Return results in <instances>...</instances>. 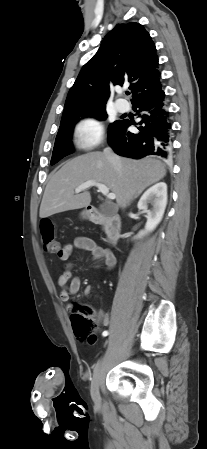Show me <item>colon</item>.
I'll return each mask as SVG.
<instances>
[{"instance_id": "colon-1", "label": "colon", "mask_w": 207, "mask_h": 449, "mask_svg": "<svg viewBox=\"0 0 207 449\" xmlns=\"http://www.w3.org/2000/svg\"><path fill=\"white\" fill-rule=\"evenodd\" d=\"M41 232L45 251L48 253L59 252L54 225L50 220H42ZM93 314V308L84 305L77 307L71 316L72 329L75 335L88 345H93L97 341V334L95 332L96 324L92 319Z\"/></svg>"}]
</instances>
